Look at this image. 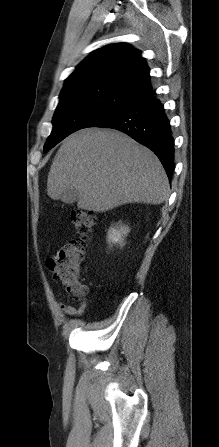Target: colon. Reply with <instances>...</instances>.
<instances>
[{"instance_id": "obj_1", "label": "colon", "mask_w": 219, "mask_h": 447, "mask_svg": "<svg viewBox=\"0 0 219 447\" xmlns=\"http://www.w3.org/2000/svg\"><path fill=\"white\" fill-rule=\"evenodd\" d=\"M70 218L82 237L60 246L48 259V268L54 279L65 286L69 297L80 301L87 294V288L80 281V264L85 255L86 236L95 224V217L88 211L77 209L72 211Z\"/></svg>"}]
</instances>
